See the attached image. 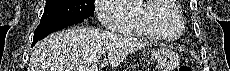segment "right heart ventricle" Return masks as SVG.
Listing matches in <instances>:
<instances>
[{"instance_id": "e07e8e85", "label": "right heart ventricle", "mask_w": 230, "mask_h": 71, "mask_svg": "<svg viewBox=\"0 0 230 71\" xmlns=\"http://www.w3.org/2000/svg\"><path fill=\"white\" fill-rule=\"evenodd\" d=\"M123 19L115 31L157 39H175L183 33V17L176 1H126L115 7Z\"/></svg>"}]
</instances>
